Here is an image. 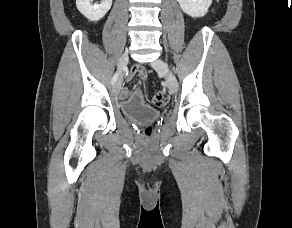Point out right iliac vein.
Here are the masks:
<instances>
[{
	"mask_svg": "<svg viewBox=\"0 0 292 228\" xmlns=\"http://www.w3.org/2000/svg\"><path fill=\"white\" fill-rule=\"evenodd\" d=\"M129 61V56L128 53H124L119 61H118V72L120 73V76L118 78V80L115 82L113 88H112V92L114 95H117L120 90H121V85H122V71L125 69V67L127 66Z\"/></svg>",
	"mask_w": 292,
	"mask_h": 228,
	"instance_id": "1",
	"label": "right iliac vein"
}]
</instances>
